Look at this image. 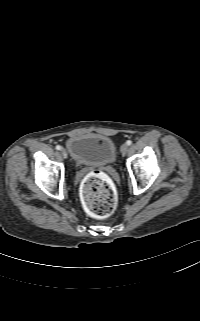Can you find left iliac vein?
Wrapping results in <instances>:
<instances>
[{
	"mask_svg": "<svg viewBox=\"0 0 200 321\" xmlns=\"http://www.w3.org/2000/svg\"><path fill=\"white\" fill-rule=\"evenodd\" d=\"M128 149H129V147H128L127 144H123V145L121 146V148H120L122 154H126L127 151H128Z\"/></svg>",
	"mask_w": 200,
	"mask_h": 321,
	"instance_id": "4c4485c4",
	"label": "left iliac vein"
}]
</instances>
